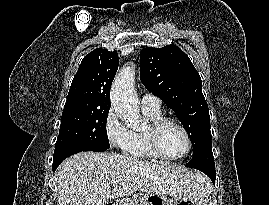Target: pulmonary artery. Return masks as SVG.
Returning a JSON list of instances; mask_svg holds the SVG:
<instances>
[{
    "mask_svg": "<svg viewBox=\"0 0 269 205\" xmlns=\"http://www.w3.org/2000/svg\"><path fill=\"white\" fill-rule=\"evenodd\" d=\"M161 101L157 96L152 94H144L141 99L142 109L160 110Z\"/></svg>",
    "mask_w": 269,
    "mask_h": 205,
    "instance_id": "1",
    "label": "pulmonary artery"
}]
</instances>
